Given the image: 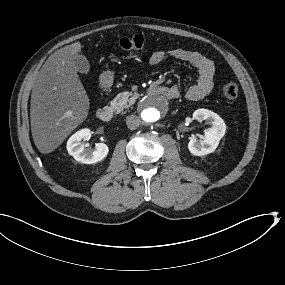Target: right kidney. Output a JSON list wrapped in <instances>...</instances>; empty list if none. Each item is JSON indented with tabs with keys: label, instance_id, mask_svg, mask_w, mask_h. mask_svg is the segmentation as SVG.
Listing matches in <instances>:
<instances>
[{
	"label": "right kidney",
	"instance_id": "right-kidney-1",
	"mask_svg": "<svg viewBox=\"0 0 285 285\" xmlns=\"http://www.w3.org/2000/svg\"><path fill=\"white\" fill-rule=\"evenodd\" d=\"M91 135L90 129L84 128L74 133L67 141V151L78 162L84 164H93L103 160L109 149L104 143H96L95 148H87V145L82 143V139H85Z\"/></svg>",
	"mask_w": 285,
	"mask_h": 285
}]
</instances>
